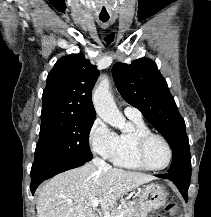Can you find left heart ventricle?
<instances>
[{
    "label": "left heart ventricle",
    "mask_w": 211,
    "mask_h": 217,
    "mask_svg": "<svg viewBox=\"0 0 211 217\" xmlns=\"http://www.w3.org/2000/svg\"><path fill=\"white\" fill-rule=\"evenodd\" d=\"M147 160L153 167H163L168 161V150L158 138L150 141L147 147Z\"/></svg>",
    "instance_id": "obj_1"
}]
</instances>
